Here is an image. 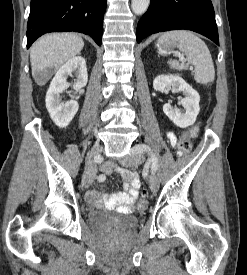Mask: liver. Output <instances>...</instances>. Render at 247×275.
<instances>
[{"mask_svg": "<svg viewBox=\"0 0 247 275\" xmlns=\"http://www.w3.org/2000/svg\"><path fill=\"white\" fill-rule=\"evenodd\" d=\"M83 39L74 33H52L36 41L30 50L32 75L41 82L39 76L47 69L57 70L81 52Z\"/></svg>", "mask_w": 247, "mask_h": 275, "instance_id": "1", "label": "liver"}]
</instances>
